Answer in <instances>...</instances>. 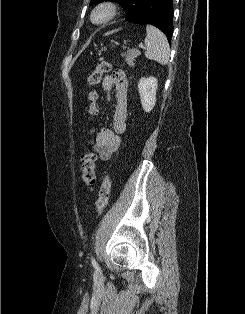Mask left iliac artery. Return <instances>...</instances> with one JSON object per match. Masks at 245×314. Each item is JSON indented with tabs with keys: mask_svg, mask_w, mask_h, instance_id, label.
<instances>
[{
	"mask_svg": "<svg viewBox=\"0 0 245 314\" xmlns=\"http://www.w3.org/2000/svg\"><path fill=\"white\" fill-rule=\"evenodd\" d=\"M91 262H92V265H93L95 268H98L97 262L95 261L94 258L91 259Z\"/></svg>",
	"mask_w": 245,
	"mask_h": 314,
	"instance_id": "44dca946",
	"label": "left iliac artery"
}]
</instances>
